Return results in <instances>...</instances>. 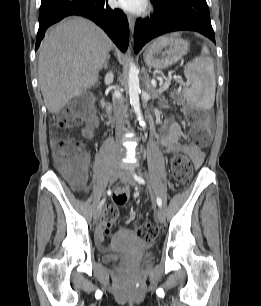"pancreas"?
<instances>
[{"instance_id": "cf45deb5", "label": "pancreas", "mask_w": 261, "mask_h": 306, "mask_svg": "<svg viewBox=\"0 0 261 306\" xmlns=\"http://www.w3.org/2000/svg\"><path fill=\"white\" fill-rule=\"evenodd\" d=\"M166 83H167V81H166L161 87H159V88L152 87V88L150 89L151 93L156 94V95L163 93V92L169 87V86H168V87L166 88ZM169 85H170V82H169Z\"/></svg>"}]
</instances>
